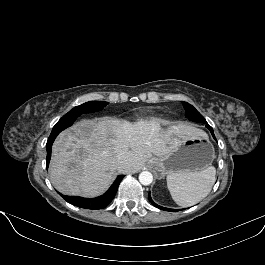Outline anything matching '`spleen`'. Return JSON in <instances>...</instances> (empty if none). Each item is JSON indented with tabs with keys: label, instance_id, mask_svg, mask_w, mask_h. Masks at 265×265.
Returning a JSON list of instances; mask_svg holds the SVG:
<instances>
[{
	"label": "spleen",
	"instance_id": "spleen-1",
	"mask_svg": "<svg viewBox=\"0 0 265 265\" xmlns=\"http://www.w3.org/2000/svg\"><path fill=\"white\" fill-rule=\"evenodd\" d=\"M213 166L198 172L173 173L167 176V187L173 200L182 207H189L208 195L215 182Z\"/></svg>",
	"mask_w": 265,
	"mask_h": 265
}]
</instances>
